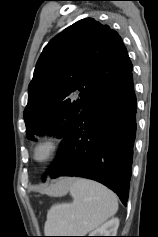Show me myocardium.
<instances>
[{
    "instance_id": "1",
    "label": "myocardium",
    "mask_w": 158,
    "mask_h": 237,
    "mask_svg": "<svg viewBox=\"0 0 158 237\" xmlns=\"http://www.w3.org/2000/svg\"><path fill=\"white\" fill-rule=\"evenodd\" d=\"M59 148L60 143L55 137H41L33 147L32 158L36 163H45L56 155Z\"/></svg>"
}]
</instances>
